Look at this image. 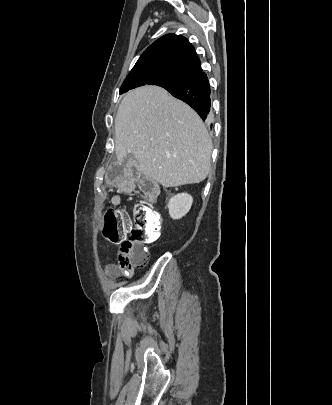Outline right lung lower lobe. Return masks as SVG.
Here are the masks:
<instances>
[{
  "instance_id": "right-lung-lower-lobe-1",
  "label": "right lung lower lobe",
  "mask_w": 332,
  "mask_h": 405,
  "mask_svg": "<svg viewBox=\"0 0 332 405\" xmlns=\"http://www.w3.org/2000/svg\"><path fill=\"white\" fill-rule=\"evenodd\" d=\"M163 88L190 105L203 120L207 118L211 106V91L206 73L201 71Z\"/></svg>"
}]
</instances>
